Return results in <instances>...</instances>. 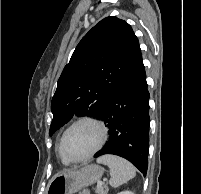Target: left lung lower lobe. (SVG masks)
I'll return each mask as SVG.
<instances>
[{
    "mask_svg": "<svg viewBox=\"0 0 201 194\" xmlns=\"http://www.w3.org/2000/svg\"><path fill=\"white\" fill-rule=\"evenodd\" d=\"M149 92L141 52L114 91L99 118L109 141L95 157L114 154L129 160L146 176L149 150Z\"/></svg>",
    "mask_w": 201,
    "mask_h": 194,
    "instance_id": "left-lung-lower-lobe-1",
    "label": "left lung lower lobe"
}]
</instances>
